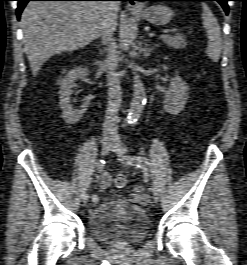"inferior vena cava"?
I'll use <instances>...</instances> for the list:
<instances>
[{
    "label": "inferior vena cava",
    "instance_id": "1",
    "mask_svg": "<svg viewBox=\"0 0 247 265\" xmlns=\"http://www.w3.org/2000/svg\"><path fill=\"white\" fill-rule=\"evenodd\" d=\"M102 3L105 14L99 32L102 37V43L105 46V51L107 52L104 67L108 72L107 81L109 87L108 105L103 128L105 134H117V114L121 105V88L119 76L116 72L118 66L117 47L110 29V21L111 15L118 8V2L105 1Z\"/></svg>",
    "mask_w": 247,
    "mask_h": 265
}]
</instances>
